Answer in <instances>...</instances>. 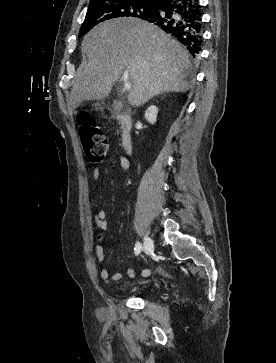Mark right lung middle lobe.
Returning a JSON list of instances; mask_svg holds the SVG:
<instances>
[{
	"instance_id": "obj_1",
	"label": "right lung middle lobe",
	"mask_w": 276,
	"mask_h": 363,
	"mask_svg": "<svg viewBox=\"0 0 276 363\" xmlns=\"http://www.w3.org/2000/svg\"><path fill=\"white\" fill-rule=\"evenodd\" d=\"M156 10V6L135 0H101L90 3L79 36L105 20L117 17H137L146 20L153 17Z\"/></svg>"
}]
</instances>
